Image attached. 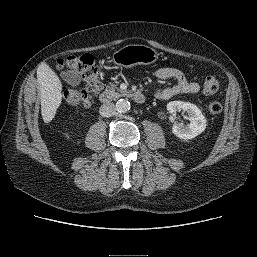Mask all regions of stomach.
Instances as JSON below:
<instances>
[{
  "mask_svg": "<svg viewBox=\"0 0 257 257\" xmlns=\"http://www.w3.org/2000/svg\"><path fill=\"white\" fill-rule=\"evenodd\" d=\"M158 59L155 49L138 44H129L114 52L112 62L123 67H133L136 65H149Z\"/></svg>",
  "mask_w": 257,
  "mask_h": 257,
  "instance_id": "obj_1",
  "label": "stomach"
}]
</instances>
